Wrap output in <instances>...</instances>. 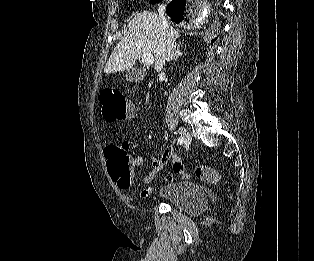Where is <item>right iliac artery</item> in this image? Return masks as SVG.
Returning a JSON list of instances; mask_svg holds the SVG:
<instances>
[{"instance_id": "obj_1", "label": "right iliac artery", "mask_w": 314, "mask_h": 261, "mask_svg": "<svg viewBox=\"0 0 314 261\" xmlns=\"http://www.w3.org/2000/svg\"><path fill=\"white\" fill-rule=\"evenodd\" d=\"M178 143L181 145V144H183V142H184V140L182 139V138H178Z\"/></svg>"}]
</instances>
